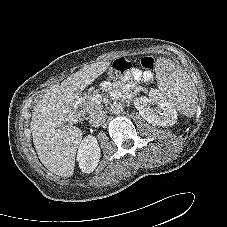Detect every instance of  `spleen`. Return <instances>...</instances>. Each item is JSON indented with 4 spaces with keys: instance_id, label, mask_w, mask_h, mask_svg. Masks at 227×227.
Instances as JSON below:
<instances>
[{
    "instance_id": "obj_1",
    "label": "spleen",
    "mask_w": 227,
    "mask_h": 227,
    "mask_svg": "<svg viewBox=\"0 0 227 227\" xmlns=\"http://www.w3.org/2000/svg\"><path fill=\"white\" fill-rule=\"evenodd\" d=\"M156 77L159 92L172 106L186 116L196 112L198 98L195 85L184 70L169 59H159Z\"/></svg>"
}]
</instances>
